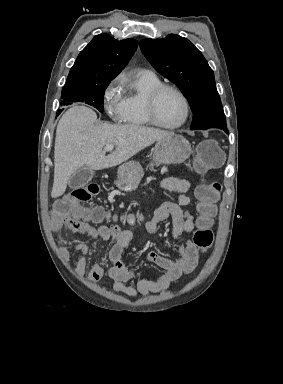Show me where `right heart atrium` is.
<instances>
[{
  "label": "right heart atrium",
  "mask_w": 283,
  "mask_h": 384,
  "mask_svg": "<svg viewBox=\"0 0 283 384\" xmlns=\"http://www.w3.org/2000/svg\"><path fill=\"white\" fill-rule=\"evenodd\" d=\"M123 85V77L118 74L110 79L102 90L103 109L113 122H122Z\"/></svg>",
  "instance_id": "d8ad5b80"
}]
</instances>
